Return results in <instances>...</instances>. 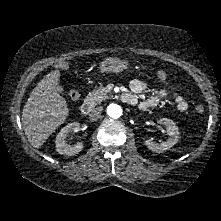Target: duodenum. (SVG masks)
<instances>
[{
    "label": "duodenum",
    "instance_id": "obj_1",
    "mask_svg": "<svg viewBox=\"0 0 221 221\" xmlns=\"http://www.w3.org/2000/svg\"><path fill=\"white\" fill-rule=\"evenodd\" d=\"M121 100L124 102V103H126V104H130V105H135L136 104V99H135V97L132 95V94H130V93H123L122 95H121ZM81 113L83 114V115H88L89 113H90V111H91V106H90V104H88V103H86V104H83L82 106H81Z\"/></svg>",
    "mask_w": 221,
    "mask_h": 221
}]
</instances>
